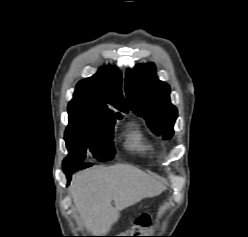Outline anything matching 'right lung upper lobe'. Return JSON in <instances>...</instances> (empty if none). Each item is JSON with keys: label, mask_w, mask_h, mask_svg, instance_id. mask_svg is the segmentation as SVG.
I'll return each mask as SVG.
<instances>
[{"label": "right lung upper lobe", "mask_w": 248, "mask_h": 237, "mask_svg": "<svg viewBox=\"0 0 248 237\" xmlns=\"http://www.w3.org/2000/svg\"><path fill=\"white\" fill-rule=\"evenodd\" d=\"M122 76L112 67L109 74L100 69L95 75L81 80L68 107L85 113L109 117L114 116L113 106L122 112H128V104L121 93ZM116 116H121L118 112Z\"/></svg>", "instance_id": "cb5924a9"}]
</instances>
